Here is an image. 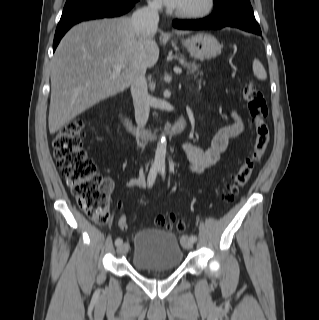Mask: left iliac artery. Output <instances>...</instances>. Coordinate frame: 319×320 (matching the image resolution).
I'll use <instances>...</instances> for the list:
<instances>
[{
	"mask_svg": "<svg viewBox=\"0 0 319 320\" xmlns=\"http://www.w3.org/2000/svg\"><path fill=\"white\" fill-rule=\"evenodd\" d=\"M160 172H161L162 176H164V174H165V167H161V168H160ZM189 239H190V241L195 242V241L197 240V237H196L195 235H191Z\"/></svg>",
	"mask_w": 319,
	"mask_h": 320,
	"instance_id": "44dca946",
	"label": "left iliac artery"
}]
</instances>
